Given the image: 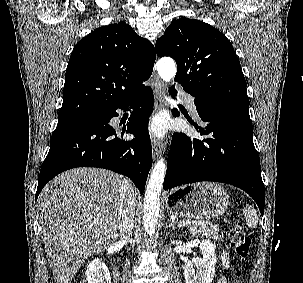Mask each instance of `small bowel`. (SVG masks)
Here are the masks:
<instances>
[{"label":"small bowel","mask_w":303,"mask_h":283,"mask_svg":"<svg viewBox=\"0 0 303 283\" xmlns=\"http://www.w3.org/2000/svg\"><path fill=\"white\" fill-rule=\"evenodd\" d=\"M220 256H221L223 265L226 266V265L228 264V255H227V253H226L224 250H221V251H220ZM217 283H226V282H225V279H224V278H219V279L217 280Z\"/></svg>","instance_id":"1"}]
</instances>
